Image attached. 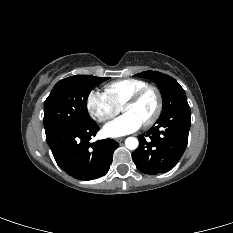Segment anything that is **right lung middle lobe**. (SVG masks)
Instances as JSON below:
<instances>
[{"label": "right lung middle lobe", "instance_id": "right-lung-middle-lobe-1", "mask_svg": "<svg viewBox=\"0 0 233 233\" xmlns=\"http://www.w3.org/2000/svg\"><path fill=\"white\" fill-rule=\"evenodd\" d=\"M108 79L75 75L57 82L44 103L45 132L91 121L86 105L88 95L95 86Z\"/></svg>", "mask_w": 233, "mask_h": 233}]
</instances>
